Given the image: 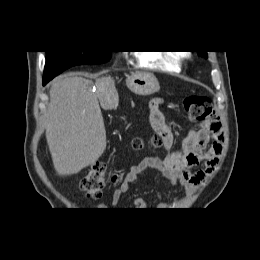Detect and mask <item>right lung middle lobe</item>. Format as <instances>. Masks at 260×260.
Listing matches in <instances>:
<instances>
[{"instance_id":"dd1d6c3e","label":"right lung middle lobe","mask_w":260,"mask_h":260,"mask_svg":"<svg viewBox=\"0 0 260 260\" xmlns=\"http://www.w3.org/2000/svg\"><path fill=\"white\" fill-rule=\"evenodd\" d=\"M112 51H46L45 79L51 80L67 68L107 62Z\"/></svg>"}]
</instances>
